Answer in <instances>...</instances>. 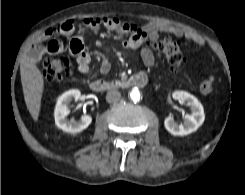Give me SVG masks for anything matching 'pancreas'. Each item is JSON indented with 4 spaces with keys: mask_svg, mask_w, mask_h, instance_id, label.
<instances>
[{
    "mask_svg": "<svg viewBox=\"0 0 245 195\" xmlns=\"http://www.w3.org/2000/svg\"><path fill=\"white\" fill-rule=\"evenodd\" d=\"M120 83H121V82L118 81V80H116V81L112 80V81H111V85H119Z\"/></svg>",
    "mask_w": 245,
    "mask_h": 195,
    "instance_id": "1",
    "label": "pancreas"
}]
</instances>
